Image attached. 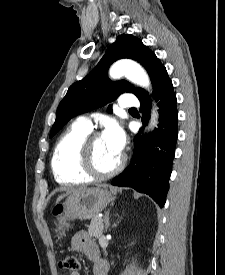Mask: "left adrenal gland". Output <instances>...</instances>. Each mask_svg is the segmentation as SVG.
I'll list each match as a JSON object with an SVG mask.
<instances>
[{
    "mask_svg": "<svg viewBox=\"0 0 225 275\" xmlns=\"http://www.w3.org/2000/svg\"><path fill=\"white\" fill-rule=\"evenodd\" d=\"M104 222H105V229L107 231L108 227L110 226V223H109V212H106L105 217H104Z\"/></svg>",
    "mask_w": 225,
    "mask_h": 275,
    "instance_id": "obj_1",
    "label": "left adrenal gland"
}]
</instances>
